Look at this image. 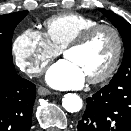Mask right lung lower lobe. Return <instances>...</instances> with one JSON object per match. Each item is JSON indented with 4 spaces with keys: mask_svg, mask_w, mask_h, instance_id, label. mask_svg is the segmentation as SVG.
Returning a JSON list of instances; mask_svg holds the SVG:
<instances>
[{
    "mask_svg": "<svg viewBox=\"0 0 131 131\" xmlns=\"http://www.w3.org/2000/svg\"><path fill=\"white\" fill-rule=\"evenodd\" d=\"M36 88L14 69L11 60L0 59V131H29Z\"/></svg>",
    "mask_w": 131,
    "mask_h": 131,
    "instance_id": "obj_1",
    "label": "right lung lower lobe"
}]
</instances>
